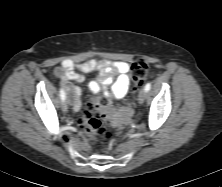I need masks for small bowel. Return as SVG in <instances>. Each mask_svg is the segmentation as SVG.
<instances>
[{"instance_id":"small-bowel-1","label":"small bowel","mask_w":222,"mask_h":187,"mask_svg":"<svg viewBox=\"0 0 222 187\" xmlns=\"http://www.w3.org/2000/svg\"><path fill=\"white\" fill-rule=\"evenodd\" d=\"M128 70L129 65L124 61L92 59L76 63L64 60L54 70V75L61 80V84L71 96L73 109L78 112L82 107V91L78 86L72 85L71 81L82 83L85 80L84 73L98 71V79L89 82L88 89L93 93H102L108 99H122L129 89Z\"/></svg>"}]
</instances>
